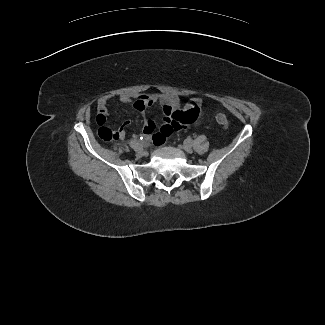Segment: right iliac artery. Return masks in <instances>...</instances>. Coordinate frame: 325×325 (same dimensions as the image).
<instances>
[{
    "instance_id": "right-iliac-artery-1",
    "label": "right iliac artery",
    "mask_w": 325,
    "mask_h": 325,
    "mask_svg": "<svg viewBox=\"0 0 325 325\" xmlns=\"http://www.w3.org/2000/svg\"><path fill=\"white\" fill-rule=\"evenodd\" d=\"M129 144L133 149H137L139 147V144L136 141H131Z\"/></svg>"
}]
</instances>
